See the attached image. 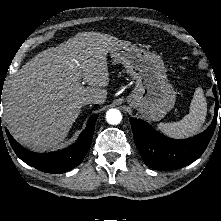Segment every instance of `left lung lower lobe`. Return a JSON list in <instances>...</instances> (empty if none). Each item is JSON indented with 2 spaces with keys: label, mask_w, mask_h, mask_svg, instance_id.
Segmentation results:
<instances>
[{
  "label": "left lung lower lobe",
  "mask_w": 221,
  "mask_h": 221,
  "mask_svg": "<svg viewBox=\"0 0 221 221\" xmlns=\"http://www.w3.org/2000/svg\"><path fill=\"white\" fill-rule=\"evenodd\" d=\"M214 95L216 106L211 125L201 134L189 139H170L157 132L148 123L135 118L130 119L135 144L147 166L157 170H175L192 163L202 155L217 123L218 100L215 90Z\"/></svg>",
  "instance_id": "obj_1"
}]
</instances>
